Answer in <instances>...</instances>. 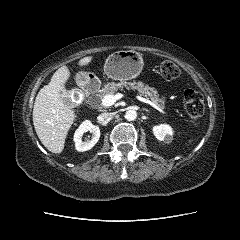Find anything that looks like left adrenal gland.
Instances as JSON below:
<instances>
[{
    "label": "left adrenal gland",
    "mask_w": 240,
    "mask_h": 240,
    "mask_svg": "<svg viewBox=\"0 0 240 240\" xmlns=\"http://www.w3.org/2000/svg\"><path fill=\"white\" fill-rule=\"evenodd\" d=\"M144 111L148 112L149 110L148 109H143Z\"/></svg>",
    "instance_id": "1"
}]
</instances>
